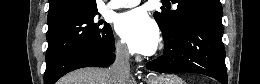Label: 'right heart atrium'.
Listing matches in <instances>:
<instances>
[{
    "mask_svg": "<svg viewBox=\"0 0 260 84\" xmlns=\"http://www.w3.org/2000/svg\"><path fill=\"white\" fill-rule=\"evenodd\" d=\"M114 51L115 54L121 59H126L129 56L128 49L121 40L115 41Z\"/></svg>",
    "mask_w": 260,
    "mask_h": 84,
    "instance_id": "obj_1",
    "label": "right heart atrium"
}]
</instances>
